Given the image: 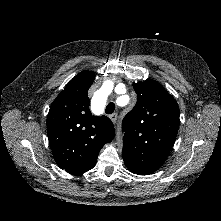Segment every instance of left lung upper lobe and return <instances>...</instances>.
<instances>
[{"mask_svg":"<svg viewBox=\"0 0 221 221\" xmlns=\"http://www.w3.org/2000/svg\"><path fill=\"white\" fill-rule=\"evenodd\" d=\"M137 103L122 121V156L127 168L149 175L166 160L179 129L175 99L154 80L133 84Z\"/></svg>","mask_w":221,"mask_h":221,"instance_id":"5c2ea615","label":"left lung upper lobe"}]
</instances>
